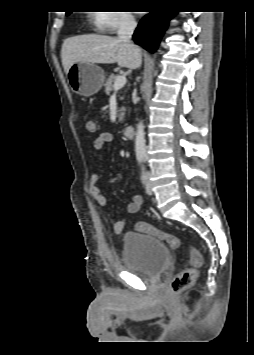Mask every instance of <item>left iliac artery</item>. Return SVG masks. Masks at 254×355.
I'll list each match as a JSON object with an SVG mask.
<instances>
[{
    "label": "left iliac artery",
    "instance_id": "44dca946",
    "mask_svg": "<svg viewBox=\"0 0 254 355\" xmlns=\"http://www.w3.org/2000/svg\"><path fill=\"white\" fill-rule=\"evenodd\" d=\"M142 179H145V172H144V168H143V171H142Z\"/></svg>",
    "mask_w": 254,
    "mask_h": 355
}]
</instances>
